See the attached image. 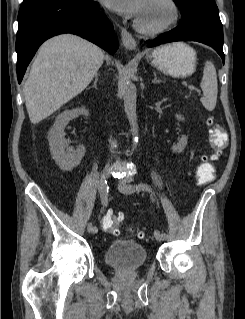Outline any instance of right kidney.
Listing matches in <instances>:
<instances>
[{
    "label": "right kidney",
    "mask_w": 245,
    "mask_h": 319,
    "mask_svg": "<svg viewBox=\"0 0 245 319\" xmlns=\"http://www.w3.org/2000/svg\"><path fill=\"white\" fill-rule=\"evenodd\" d=\"M79 115L88 116L89 112L83 107L62 112L48 133L51 156L64 171H71L77 167L85 154L84 146L81 145L75 150L68 146L70 141L65 139L66 125Z\"/></svg>",
    "instance_id": "1"
}]
</instances>
